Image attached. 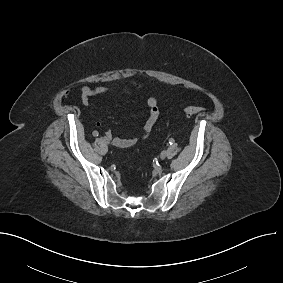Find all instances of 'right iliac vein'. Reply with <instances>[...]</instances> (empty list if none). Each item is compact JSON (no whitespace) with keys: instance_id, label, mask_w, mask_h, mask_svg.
Here are the masks:
<instances>
[{"instance_id":"right-iliac-vein-1","label":"right iliac vein","mask_w":283,"mask_h":283,"mask_svg":"<svg viewBox=\"0 0 283 283\" xmlns=\"http://www.w3.org/2000/svg\"><path fill=\"white\" fill-rule=\"evenodd\" d=\"M104 140H105V142H106L107 144L110 143V138H109V137H105Z\"/></svg>"}]
</instances>
